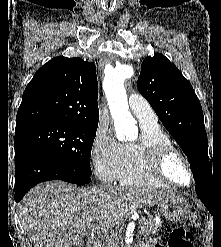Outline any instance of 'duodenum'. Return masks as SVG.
Returning <instances> with one entry per match:
<instances>
[{"label":"duodenum","mask_w":221,"mask_h":247,"mask_svg":"<svg viewBox=\"0 0 221 247\" xmlns=\"http://www.w3.org/2000/svg\"><path fill=\"white\" fill-rule=\"evenodd\" d=\"M86 247H97V244L95 241H88Z\"/></svg>","instance_id":"duodenum-1"}]
</instances>
